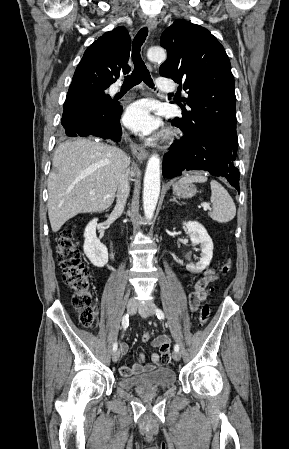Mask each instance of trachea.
<instances>
[{
  "label": "trachea",
  "mask_w": 289,
  "mask_h": 449,
  "mask_svg": "<svg viewBox=\"0 0 289 449\" xmlns=\"http://www.w3.org/2000/svg\"><path fill=\"white\" fill-rule=\"evenodd\" d=\"M148 35V28H142L133 40L132 45V61L134 64V70L131 75L125 77L122 88L129 90L133 86L140 84L142 81L151 88H154V84L150 73L141 58V46L146 40Z\"/></svg>",
  "instance_id": "3493384b"
}]
</instances>
